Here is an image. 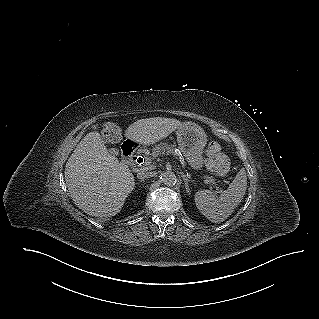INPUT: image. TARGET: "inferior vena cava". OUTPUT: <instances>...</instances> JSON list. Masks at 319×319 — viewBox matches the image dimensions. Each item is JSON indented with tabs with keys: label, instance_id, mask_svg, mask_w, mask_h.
I'll return each instance as SVG.
<instances>
[{
	"label": "inferior vena cava",
	"instance_id": "1",
	"mask_svg": "<svg viewBox=\"0 0 319 319\" xmlns=\"http://www.w3.org/2000/svg\"><path fill=\"white\" fill-rule=\"evenodd\" d=\"M153 176H154V173L151 172V171H148V170L140 171L137 174V178H139V179H146V178H150V177H153Z\"/></svg>",
	"mask_w": 319,
	"mask_h": 319
}]
</instances>
